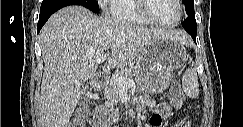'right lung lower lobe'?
Listing matches in <instances>:
<instances>
[{
    "label": "right lung lower lobe",
    "instance_id": "98d812e1",
    "mask_svg": "<svg viewBox=\"0 0 243 127\" xmlns=\"http://www.w3.org/2000/svg\"><path fill=\"white\" fill-rule=\"evenodd\" d=\"M69 5H79L75 2H70V1H63V2H58L54 3L45 7L40 8V16H39V21L37 25V32L41 30L43 25L46 23V21L49 19V17L55 13L57 10L69 6Z\"/></svg>",
    "mask_w": 243,
    "mask_h": 127
}]
</instances>
